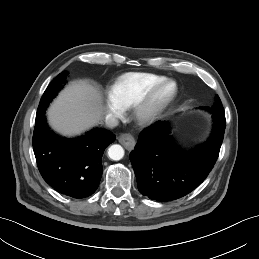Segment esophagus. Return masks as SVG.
Instances as JSON below:
<instances>
[{
  "instance_id": "34e87169",
  "label": "esophagus",
  "mask_w": 259,
  "mask_h": 259,
  "mask_svg": "<svg viewBox=\"0 0 259 259\" xmlns=\"http://www.w3.org/2000/svg\"><path fill=\"white\" fill-rule=\"evenodd\" d=\"M118 141L127 149L132 150L135 146V139L131 134H121Z\"/></svg>"
}]
</instances>
